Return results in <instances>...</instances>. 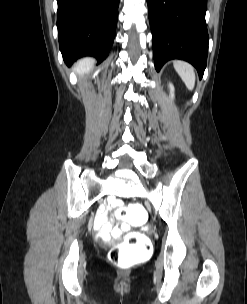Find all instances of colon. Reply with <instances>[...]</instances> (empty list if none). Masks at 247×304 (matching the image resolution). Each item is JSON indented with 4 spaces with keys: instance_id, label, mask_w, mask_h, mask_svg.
Listing matches in <instances>:
<instances>
[{
    "instance_id": "obj_1",
    "label": "colon",
    "mask_w": 247,
    "mask_h": 304,
    "mask_svg": "<svg viewBox=\"0 0 247 304\" xmlns=\"http://www.w3.org/2000/svg\"><path fill=\"white\" fill-rule=\"evenodd\" d=\"M117 211H121V208H117ZM122 211L127 218H121V225H148L150 216L145 210L144 202H128ZM112 215H116V212H112ZM101 242L107 244L104 253H109L110 261L117 265L151 259L154 253V241H150V237L146 233H140L139 229H130L118 245L110 246L111 237H102Z\"/></svg>"
}]
</instances>
